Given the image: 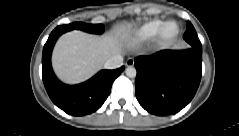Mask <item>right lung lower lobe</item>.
<instances>
[{"label": "right lung lower lobe", "instance_id": "obj_1", "mask_svg": "<svg viewBox=\"0 0 239 136\" xmlns=\"http://www.w3.org/2000/svg\"><path fill=\"white\" fill-rule=\"evenodd\" d=\"M64 33L58 27L50 34L43 48L42 78L46 91L53 103L64 112L83 116L95 112L110 94L111 86L124 67L116 70H102L90 80L78 85L60 82L51 67V52L57 38Z\"/></svg>", "mask_w": 239, "mask_h": 136}]
</instances>
